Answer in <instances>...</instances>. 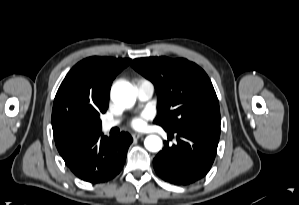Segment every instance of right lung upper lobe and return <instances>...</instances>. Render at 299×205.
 Masks as SVG:
<instances>
[{
  "instance_id": "obj_1",
  "label": "right lung upper lobe",
  "mask_w": 299,
  "mask_h": 205,
  "mask_svg": "<svg viewBox=\"0 0 299 205\" xmlns=\"http://www.w3.org/2000/svg\"><path fill=\"white\" fill-rule=\"evenodd\" d=\"M131 59L89 57L77 63L66 75L55 96L52 128L56 147L62 157L78 143L69 132L77 120H100L109 103L113 79Z\"/></svg>"
}]
</instances>
